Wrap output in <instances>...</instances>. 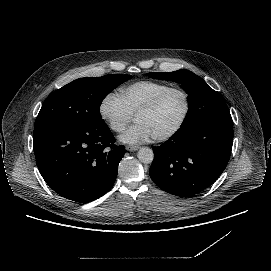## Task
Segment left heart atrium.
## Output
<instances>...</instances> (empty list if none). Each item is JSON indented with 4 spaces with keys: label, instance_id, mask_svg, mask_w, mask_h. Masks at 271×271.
<instances>
[{
    "label": "left heart atrium",
    "instance_id": "39dd6f15",
    "mask_svg": "<svg viewBox=\"0 0 271 271\" xmlns=\"http://www.w3.org/2000/svg\"><path fill=\"white\" fill-rule=\"evenodd\" d=\"M154 135L145 123H136L120 137V141L125 144L139 145L150 142Z\"/></svg>",
    "mask_w": 271,
    "mask_h": 271
}]
</instances>
